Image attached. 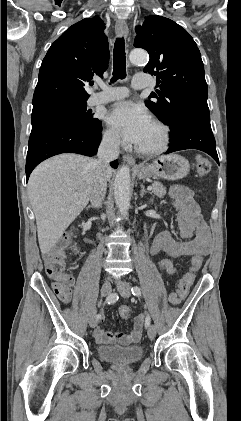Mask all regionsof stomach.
<instances>
[{"label": "stomach", "instance_id": "0dacf381", "mask_svg": "<svg viewBox=\"0 0 241 421\" xmlns=\"http://www.w3.org/2000/svg\"><path fill=\"white\" fill-rule=\"evenodd\" d=\"M190 171L187 159L177 154L160 156L152 163H142L135 169L139 179L150 177L177 180L185 177Z\"/></svg>", "mask_w": 241, "mask_h": 421}]
</instances>
